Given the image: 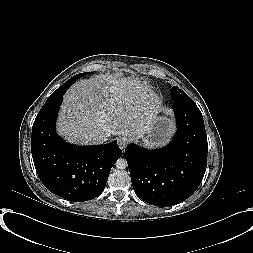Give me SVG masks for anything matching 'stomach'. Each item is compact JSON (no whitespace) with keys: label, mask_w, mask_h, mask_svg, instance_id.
I'll return each instance as SVG.
<instances>
[{"label":"stomach","mask_w":253,"mask_h":253,"mask_svg":"<svg viewBox=\"0 0 253 253\" xmlns=\"http://www.w3.org/2000/svg\"><path fill=\"white\" fill-rule=\"evenodd\" d=\"M149 132L142 138V143L148 147L164 144L174 130L173 120L166 116H154Z\"/></svg>","instance_id":"obj_1"}]
</instances>
